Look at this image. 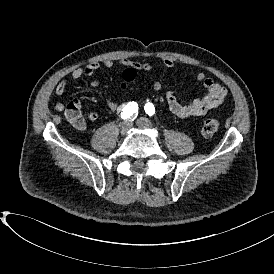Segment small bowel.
<instances>
[{
  "label": "small bowel",
  "instance_id": "obj_1",
  "mask_svg": "<svg viewBox=\"0 0 274 274\" xmlns=\"http://www.w3.org/2000/svg\"><path fill=\"white\" fill-rule=\"evenodd\" d=\"M121 66L128 68H135L136 70L142 72H151L153 70L152 64L149 62H138L128 58H123L118 62ZM162 63L167 68H173L175 66V61L172 58H163ZM114 61L111 59H104L100 62H90L83 67L75 69L71 78L73 80H78L82 77L94 76V74L100 68L111 69L114 67ZM196 81L203 84L206 89L205 94L196 98L190 103L182 104L176 97V95L169 91L165 94V99L170 111L182 120H186L192 116H201L206 114L209 110L216 108L222 104L224 101L227 90L213 77L208 76L204 70L197 72L195 76ZM128 82L123 81L122 87L124 88ZM100 84L98 78H93L90 82L91 87H97ZM67 81L65 79L61 80L55 90L58 97H61L66 89ZM152 88L159 91L162 88L160 81L155 80L152 83ZM76 104H79L78 100H74ZM106 106L112 112H118L120 110V105L111 99H106ZM54 109L56 111H62L64 109V103L58 100L54 103ZM99 120V114L97 112H90L86 117V121L89 123H94ZM86 121L81 118L79 122H71L74 127L78 130L86 129Z\"/></svg>",
  "mask_w": 274,
  "mask_h": 274
}]
</instances>
